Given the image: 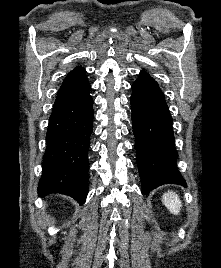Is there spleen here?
<instances>
[{
    "label": "spleen",
    "mask_w": 221,
    "mask_h": 268,
    "mask_svg": "<svg viewBox=\"0 0 221 268\" xmlns=\"http://www.w3.org/2000/svg\"><path fill=\"white\" fill-rule=\"evenodd\" d=\"M163 203L166 208L174 215H178L181 209V201L178 195L173 191H168L163 195Z\"/></svg>",
    "instance_id": "3e777b00"
}]
</instances>
